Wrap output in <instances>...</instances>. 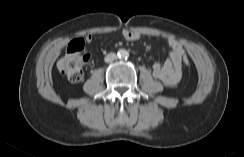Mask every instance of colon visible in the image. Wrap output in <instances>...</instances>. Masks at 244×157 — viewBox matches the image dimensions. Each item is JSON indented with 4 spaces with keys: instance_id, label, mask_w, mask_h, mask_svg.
<instances>
[{
    "instance_id": "1",
    "label": "colon",
    "mask_w": 244,
    "mask_h": 157,
    "mask_svg": "<svg viewBox=\"0 0 244 157\" xmlns=\"http://www.w3.org/2000/svg\"><path fill=\"white\" fill-rule=\"evenodd\" d=\"M90 58V55L84 50V42L81 39L72 41L64 56L57 62L58 72L65 76L71 82H79L83 77V65ZM186 66L190 65L188 55L184 54L182 58Z\"/></svg>"
}]
</instances>
